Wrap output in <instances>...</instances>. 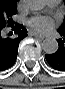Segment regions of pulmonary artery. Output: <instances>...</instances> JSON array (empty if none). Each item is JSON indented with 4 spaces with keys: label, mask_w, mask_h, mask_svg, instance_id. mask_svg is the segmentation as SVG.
I'll return each instance as SVG.
<instances>
[{
    "label": "pulmonary artery",
    "mask_w": 65,
    "mask_h": 89,
    "mask_svg": "<svg viewBox=\"0 0 65 89\" xmlns=\"http://www.w3.org/2000/svg\"><path fill=\"white\" fill-rule=\"evenodd\" d=\"M47 4H48L49 6H55V5L58 4V1H57V0H48V1H47Z\"/></svg>",
    "instance_id": "1"
}]
</instances>
